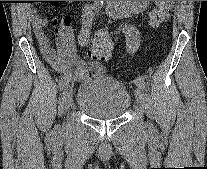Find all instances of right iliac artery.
Wrapping results in <instances>:
<instances>
[{
    "label": "right iliac artery",
    "instance_id": "right-iliac-artery-1",
    "mask_svg": "<svg viewBox=\"0 0 207 169\" xmlns=\"http://www.w3.org/2000/svg\"><path fill=\"white\" fill-rule=\"evenodd\" d=\"M98 11H99V6L97 4H94L85 13L83 19V26L78 37L79 43H81V45H86L88 43V40L90 38L92 23ZM69 81L70 78L67 75H63L59 82L60 89H63L69 83Z\"/></svg>",
    "mask_w": 207,
    "mask_h": 169
}]
</instances>
